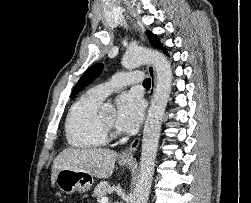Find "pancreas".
<instances>
[{"mask_svg":"<svg viewBox=\"0 0 251 203\" xmlns=\"http://www.w3.org/2000/svg\"><path fill=\"white\" fill-rule=\"evenodd\" d=\"M110 184L106 181L100 182L94 189L93 195L97 198V201L100 203L101 199L107 195L110 190Z\"/></svg>","mask_w":251,"mask_h":203,"instance_id":"obj_1","label":"pancreas"}]
</instances>
